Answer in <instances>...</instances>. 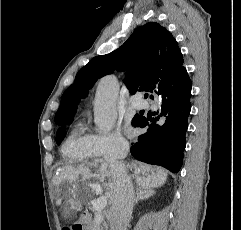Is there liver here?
Returning a JSON list of instances; mask_svg holds the SVG:
<instances>
[{
  "instance_id": "1",
  "label": "liver",
  "mask_w": 241,
  "mask_h": 230,
  "mask_svg": "<svg viewBox=\"0 0 241 230\" xmlns=\"http://www.w3.org/2000/svg\"><path fill=\"white\" fill-rule=\"evenodd\" d=\"M108 167L109 165L105 160H97L93 163L79 165L78 167H64L61 170L60 180L73 183V187L70 189L73 198L69 200V206L65 209L66 214H68L70 210L81 211V192L89 189L95 190L94 187L96 186L100 187L101 191H105L108 202L112 203L114 186ZM133 176L135 177L137 185L141 188L153 189L165 184L167 172L161 168L151 169L146 165L140 164L139 167L135 169ZM79 183H81L82 188H80ZM56 204L60 206L62 199H58Z\"/></svg>"
}]
</instances>
